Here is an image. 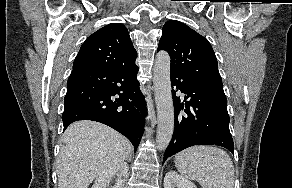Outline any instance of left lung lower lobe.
Segmentation results:
<instances>
[{
  "mask_svg": "<svg viewBox=\"0 0 292 188\" xmlns=\"http://www.w3.org/2000/svg\"><path fill=\"white\" fill-rule=\"evenodd\" d=\"M175 129L163 162L193 145H219L234 150L224 91L201 85L171 72ZM185 93L184 102L175 93Z\"/></svg>",
  "mask_w": 292,
  "mask_h": 188,
  "instance_id": "obj_1",
  "label": "left lung lower lobe"
}]
</instances>
